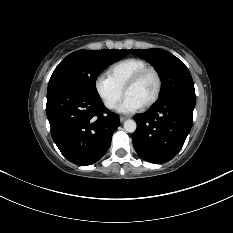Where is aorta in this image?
I'll list each match as a JSON object with an SVG mask.
<instances>
[{
  "label": "aorta",
  "mask_w": 233,
  "mask_h": 233,
  "mask_svg": "<svg viewBox=\"0 0 233 233\" xmlns=\"http://www.w3.org/2000/svg\"><path fill=\"white\" fill-rule=\"evenodd\" d=\"M124 129H125L126 132L133 133L137 129V124H136V122L134 120H131V119L126 120L124 122Z\"/></svg>",
  "instance_id": "obj_1"
}]
</instances>
